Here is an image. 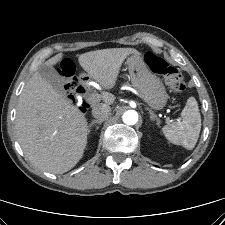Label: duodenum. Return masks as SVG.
I'll use <instances>...</instances> for the list:
<instances>
[{"mask_svg": "<svg viewBox=\"0 0 225 225\" xmlns=\"http://www.w3.org/2000/svg\"><path fill=\"white\" fill-rule=\"evenodd\" d=\"M87 82H88V78L81 77L80 84H85ZM86 94H87L86 89L81 87V97L86 96Z\"/></svg>", "mask_w": 225, "mask_h": 225, "instance_id": "duodenum-1", "label": "duodenum"}]
</instances>
